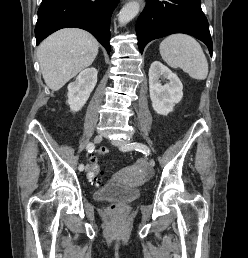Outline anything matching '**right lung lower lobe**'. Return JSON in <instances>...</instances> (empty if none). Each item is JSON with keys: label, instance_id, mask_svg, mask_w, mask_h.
<instances>
[{"label": "right lung lower lobe", "instance_id": "98d812e1", "mask_svg": "<svg viewBox=\"0 0 248 258\" xmlns=\"http://www.w3.org/2000/svg\"><path fill=\"white\" fill-rule=\"evenodd\" d=\"M118 0H42L35 27L36 44L67 27L90 32L110 53V20Z\"/></svg>", "mask_w": 248, "mask_h": 258}]
</instances>
